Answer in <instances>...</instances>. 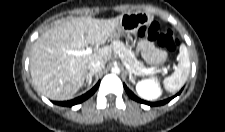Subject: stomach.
<instances>
[{"label":"stomach","instance_id":"1","mask_svg":"<svg viewBox=\"0 0 225 132\" xmlns=\"http://www.w3.org/2000/svg\"><path fill=\"white\" fill-rule=\"evenodd\" d=\"M148 21L149 15L144 13H128L123 15L119 25L111 34L110 39L116 40L124 33H135L142 25L147 24Z\"/></svg>","mask_w":225,"mask_h":132}]
</instances>
